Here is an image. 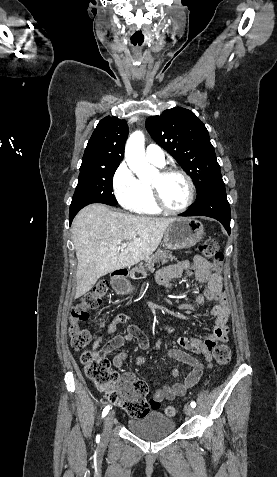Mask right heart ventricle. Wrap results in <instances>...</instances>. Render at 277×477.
Segmentation results:
<instances>
[{
  "label": "right heart ventricle",
  "mask_w": 277,
  "mask_h": 477,
  "mask_svg": "<svg viewBox=\"0 0 277 477\" xmlns=\"http://www.w3.org/2000/svg\"><path fill=\"white\" fill-rule=\"evenodd\" d=\"M130 210L141 215H157L161 212L154 203L147 181H139V197Z\"/></svg>",
  "instance_id": "right-heart-ventricle-1"
}]
</instances>
